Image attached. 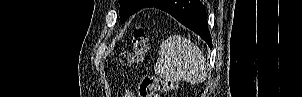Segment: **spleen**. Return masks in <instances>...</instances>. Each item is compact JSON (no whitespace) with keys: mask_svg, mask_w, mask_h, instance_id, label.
<instances>
[{"mask_svg":"<svg viewBox=\"0 0 302 97\" xmlns=\"http://www.w3.org/2000/svg\"><path fill=\"white\" fill-rule=\"evenodd\" d=\"M202 51L189 39L173 35L160 46L155 73L172 80L201 83L207 75Z\"/></svg>","mask_w":302,"mask_h":97,"instance_id":"3e777b00","label":"spleen"}]
</instances>
